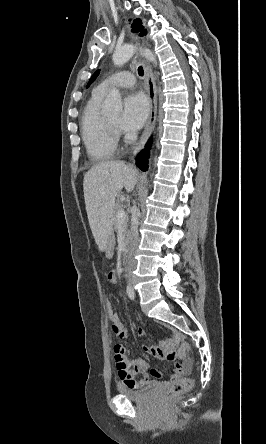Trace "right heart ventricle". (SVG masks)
Segmentation results:
<instances>
[{"label": "right heart ventricle", "mask_w": 266, "mask_h": 444, "mask_svg": "<svg viewBox=\"0 0 266 444\" xmlns=\"http://www.w3.org/2000/svg\"><path fill=\"white\" fill-rule=\"evenodd\" d=\"M103 97L104 94L93 92L81 119V133L86 151L96 161L111 158L117 147L107 129V117L100 109Z\"/></svg>", "instance_id": "obj_1"}]
</instances>
